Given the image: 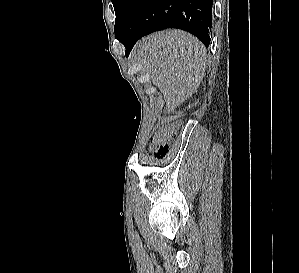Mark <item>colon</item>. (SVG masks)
<instances>
[{"label":"colon","instance_id":"obj_1","mask_svg":"<svg viewBox=\"0 0 299 273\" xmlns=\"http://www.w3.org/2000/svg\"><path fill=\"white\" fill-rule=\"evenodd\" d=\"M175 132L174 123L161 122L157 125L150 139L151 148L157 158H163L168 153Z\"/></svg>","mask_w":299,"mask_h":273}]
</instances>
